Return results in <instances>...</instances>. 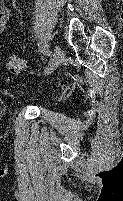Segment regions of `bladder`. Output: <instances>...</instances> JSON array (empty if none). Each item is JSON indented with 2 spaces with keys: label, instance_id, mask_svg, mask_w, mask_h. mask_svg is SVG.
Masks as SVG:
<instances>
[{
  "label": "bladder",
  "instance_id": "bladder-1",
  "mask_svg": "<svg viewBox=\"0 0 123 201\" xmlns=\"http://www.w3.org/2000/svg\"><path fill=\"white\" fill-rule=\"evenodd\" d=\"M20 93L27 97V98H33V93L27 84H21L18 86Z\"/></svg>",
  "mask_w": 123,
  "mask_h": 201
}]
</instances>
